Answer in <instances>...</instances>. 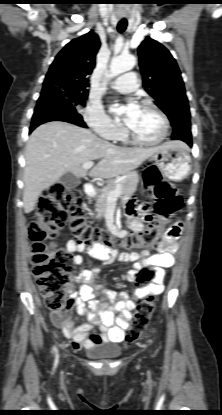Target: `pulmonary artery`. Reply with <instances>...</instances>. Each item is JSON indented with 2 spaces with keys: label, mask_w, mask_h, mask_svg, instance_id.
I'll list each match as a JSON object with an SVG mask.
<instances>
[{
  "label": "pulmonary artery",
  "mask_w": 222,
  "mask_h": 415,
  "mask_svg": "<svg viewBox=\"0 0 222 415\" xmlns=\"http://www.w3.org/2000/svg\"><path fill=\"white\" fill-rule=\"evenodd\" d=\"M111 87L124 93L134 91L138 87V79L133 72L118 76L111 83Z\"/></svg>",
  "instance_id": "obj_1"
}]
</instances>
